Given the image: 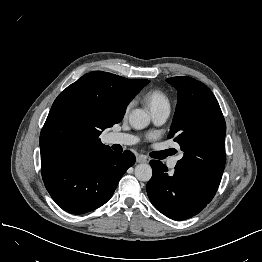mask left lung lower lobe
<instances>
[{
	"instance_id": "0a47b994",
	"label": "left lung lower lobe",
	"mask_w": 262,
	"mask_h": 262,
	"mask_svg": "<svg viewBox=\"0 0 262 262\" xmlns=\"http://www.w3.org/2000/svg\"><path fill=\"white\" fill-rule=\"evenodd\" d=\"M153 175L146 191L153 206L173 220H186L201 212L208 204L197 190L176 171L168 174L161 161L152 160Z\"/></svg>"
}]
</instances>
